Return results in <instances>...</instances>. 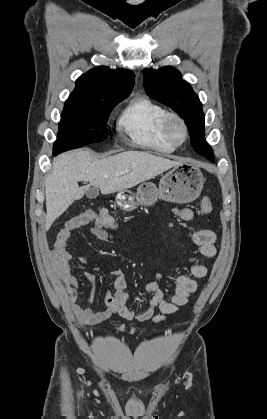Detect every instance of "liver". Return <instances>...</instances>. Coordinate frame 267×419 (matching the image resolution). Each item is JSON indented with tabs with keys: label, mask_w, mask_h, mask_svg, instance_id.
I'll list each match as a JSON object with an SVG mask.
<instances>
[{
	"label": "liver",
	"mask_w": 267,
	"mask_h": 419,
	"mask_svg": "<svg viewBox=\"0 0 267 419\" xmlns=\"http://www.w3.org/2000/svg\"><path fill=\"white\" fill-rule=\"evenodd\" d=\"M180 163L142 151H126L101 160L89 149L63 153L54 159L46 178L45 229L83 198L87 187H79V181L89 182L107 195L132 188Z\"/></svg>",
	"instance_id": "1"
}]
</instances>
